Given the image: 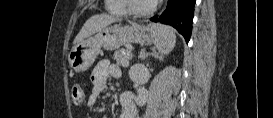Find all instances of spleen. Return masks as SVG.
Masks as SVG:
<instances>
[{
	"label": "spleen",
	"instance_id": "3e777b00",
	"mask_svg": "<svg viewBox=\"0 0 273 118\" xmlns=\"http://www.w3.org/2000/svg\"><path fill=\"white\" fill-rule=\"evenodd\" d=\"M151 38L161 54H168L175 46L176 35L173 28L161 24L151 26Z\"/></svg>",
	"mask_w": 273,
	"mask_h": 118
}]
</instances>
